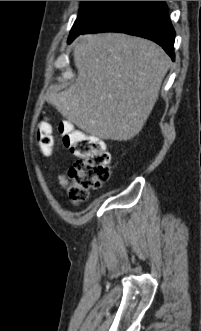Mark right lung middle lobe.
<instances>
[{
    "label": "right lung middle lobe",
    "instance_id": "dd1d6c3e",
    "mask_svg": "<svg viewBox=\"0 0 201 331\" xmlns=\"http://www.w3.org/2000/svg\"><path fill=\"white\" fill-rule=\"evenodd\" d=\"M114 2L115 1H83L79 15L71 29L68 41L79 35Z\"/></svg>",
    "mask_w": 201,
    "mask_h": 331
}]
</instances>
